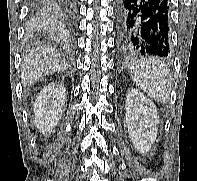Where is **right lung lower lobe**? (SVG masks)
Returning <instances> with one entry per match:
<instances>
[{
    "label": "right lung lower lobe",
    "instance_id": "98d812e1",
    "mask_svg": "<svg viewBox=\"0 0 197 181\" xmlns=\"http://www.w3.org/2000/svg\"><path fill=\"white\" fill-rule=\"evenodd\" d=\"M32 21L54 30L70 33L77 17V0H34Z\"/></svg>",
    "mask_w": 197,
    "mask_h": 181
}]
</instances>
